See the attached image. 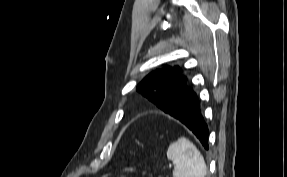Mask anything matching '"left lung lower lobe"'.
I'll return each instance as SVG.
<instances>
[{
    "label": "left lung lower lobe",
    "instance_id": "0a47b994",
    "mask_svg": "<svg viewBox=\"0 0 287 177\" xmlns=\"http://www.w3.org/2000/svg\"><path fill=\"white\" fill-rule=\"evenodd\" d=\"M168 114L185 124L208 149V128L201 115L199 99L191 88L173 96Z\"/></svg>",
    "mask_w": 287,
    "mask_h": 177
}]
</instances>
